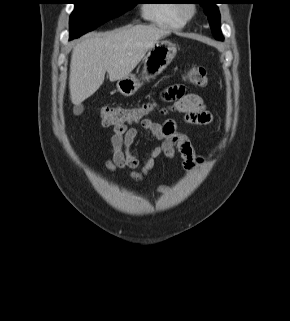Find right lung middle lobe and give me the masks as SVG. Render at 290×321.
<instances>
[{
  "mask_svg": "<svg viewBox=\"0 0 290 321\" xmlns=\"http://www.w3.org/2000/svg\"><path fill=\"white\" fill-rule=\"evenodd\" d=\"M75 9L70 17V39L95 29L136 5V0H73Z\"/></svg>",
  "mask_w": 290,
  "mask_h": 321,
  "instance_id": "1",
  "label": "right lung middle lobe"
}]
</instances>
